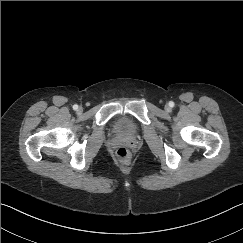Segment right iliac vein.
I'll list each match as a JSON object with an SVG mask.
<instances>
[{"label": "right iliac vein", "mask_w": 243, "mask_h": 243, "mask_svg": "<svg viewBox=\"0 0 243 243\" xmlns=\"http://www.w3.org/2000/svg\"><path fill=\"white\" fill-rule=\"evenodd\" d=\"M77 112H78V113H81V112H82V108H81V107L78 108Z\"/></svg>", "instance_id": "1"}]
</instances>
